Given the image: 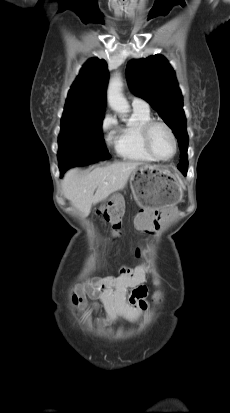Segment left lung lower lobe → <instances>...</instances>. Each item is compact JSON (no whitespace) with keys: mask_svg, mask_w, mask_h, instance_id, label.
Here are the masks:
<instances>
[{"mask_svg":"<svg viewBox=\"0 0 230 413\" xmlns=\"http://www.w3.org/2000/svg\"><path fill=\"white\" fill-rule=\"evenodd\" d=\"M184 174V176H186L187 172H182Z\"/></svg>","mask_w":230,"mask_h":413,"instance_id":"obj_1","label":"left lung lower lobe"}]
</instances>
